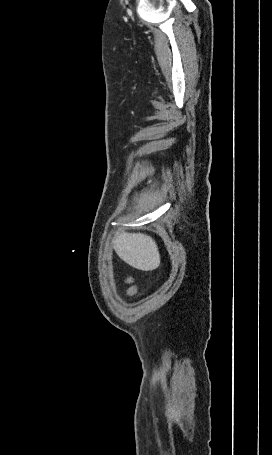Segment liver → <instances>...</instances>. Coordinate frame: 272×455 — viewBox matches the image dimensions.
<instances>
[{"label":"liver","mask_w":272,"mask_h":455,"mask_svg":"<svg viewBox=\"0 0 272 455\" xmlns=\"http://www.w3.org/2000/svg\"><path fill=\"white\" fill-rule=\"evenodd\" d=\"M117 255L130 266L152 271L160 265V254L154 239L142 233H119L113 240Z\"/></svg>","instance_id":"obj_1"}]
</instances>
